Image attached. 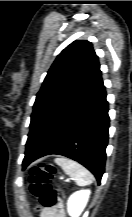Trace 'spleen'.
<instances>
[{"mask_svg":"<svg viewBox=\"0 0 132 217\" xmlns=\"http://www.w3.org/2000/svg\"><path fill=\"white\" fill-rule=\"evenodd\" d=\"M55 163L72 177L78 186H87L94 180L93 175L81 164L65 157L55 159Z\"/></svg>","mask_w":132,"mask_h":217,"instance_id":"3e777b00","label":"spleen"}]
</instances>
